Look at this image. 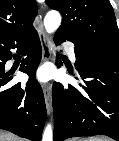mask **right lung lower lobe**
<instances>
[{"label": "right lung lower lobe", "instance_id": "1", "mask_svg": "<svg viewBox=\"0 0 119 141\" xmlns=\"http://www.w3.org/2000/svg\"><path fill=\"white\" fill-rule=\"evenodd\" d=\"M17 48V53H24L20 71L29 75L26 88L17 83L9 88L5 85L12 77L5 73V63L12 58L11 49ZM42 56L38 33L33 29L28 35L16 42L0 48V129L8 130L20 137L40 141L46 107L41 86L35 79V71Z\"/></svg>", "mask_w": 119, "mask_h": 141}]
</instances>
